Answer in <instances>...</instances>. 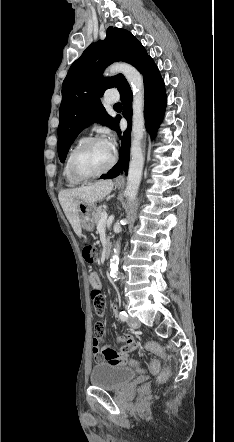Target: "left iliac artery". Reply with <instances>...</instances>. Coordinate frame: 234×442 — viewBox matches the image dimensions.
<instances>
[{
    "mask_svg": "<svg viewBox=\"0 0 234 442\" xmlns=\"http://www.w3.org/2000/svg\"><path fill=\"white\" fill-rule=\"evenodd\" d=\"M119 318H120L122 321H126V320L128 319V314H127L125 311H121V312L119 313Z\"/></svg>",
    "mask_w": 234,
    "mask_h": 442,
    "instance_id": "left-iliac-artery-1",
    "label": "left iliac artery"
}]
</instances>
